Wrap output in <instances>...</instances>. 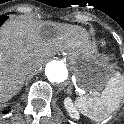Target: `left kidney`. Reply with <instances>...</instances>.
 <instances>
[{
  "instance_id": "1",
  "label": "left kidney",
  "mask_w": 124,
  "mask_h": 124,
  "mask_svg": "<svg viewBox=\"0 0 124 124\" xmlns=\"http://www.w3.org/2000/svg\"><path fill=\"white\" fill-rule=\"evenodd\" d=\"M64 104H65V107L67 108V111H68L69 115L72 118L78 119V114L75 111V109L73 108L71 100L70 99H66L64 101Z\"/></svg>"
}]
</instances>
